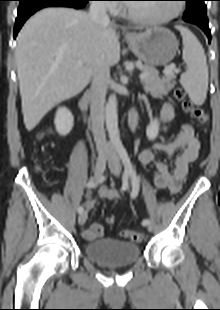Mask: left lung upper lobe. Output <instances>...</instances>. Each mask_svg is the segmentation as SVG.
Masks as SVG:
<instances>
[{
    "mask_svg": "<svg viewBox=\"0 0 220 310\" xmlns=\"http://www.w3.org/2000/svg\"><path fill=\"white\" fill-rule=\"evenodd\" d=\"M187 8L183 19L187 22L208 23L205 0H185Z\"/></svg>",
    "mask_w": 220,
    "mask_h": 310,
    "instance_id": "obj_1",
    "label": "left lung upper lobe"
}]
</instances>
